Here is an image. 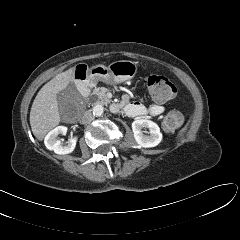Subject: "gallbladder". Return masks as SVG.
Instances as JSON below:
<instances>
[{"mask_svg":"<svg viewBox=\"0 0 240 240\" xmlns=\"http://www.w3.org/2000/svg\"><path fill=\"white\" fill-rule=\"evenodd\" d=\"M80 100V95L77 92L73 83H70L66 89L59 92L57 102L60 110V115L63 117L71 109H75Z\"/></svg>","mask_w":240,"mask_h":240,"instance_id":"obj_1","label":"gallbladder"}]
</instances>
